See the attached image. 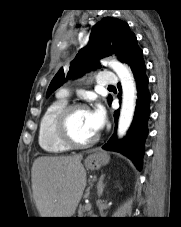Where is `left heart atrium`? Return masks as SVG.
<instances>
[{
  "label": "left heart atrium",
  "instance_id": "39dd6f15",
  "mask_svg": "<svg viewBox=\"0 0 181 227\" xmlns=\"http://www.w3.org/2000/svg\"><path fill=\"white\" fill-rule=\"evenodd\" d=\"M89 117L91 125L95 131L101 129L105 120V112L101 106H97L95 109L89 111Z\"/></svg>",
  "mask_w": 181,
  "mask_h": 227
}]
</instances>
